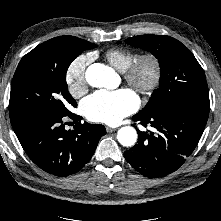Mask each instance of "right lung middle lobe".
Returning <instances> with one entry per match:
<instances>
[{
    "label": "right lung middle lobe",
    "instance_id": "right-lung-middle-lobe-1",
    "mask_svg": "<svg viewBox=\"0 0 221 221\" xmlns=\"http://www.w3.org/2000/svg\"><path fill=\"white\" fill-rule=\"evenodd\" d=\"M92 43L82 44L73 36L50 39L26 54L13 76L9 101L10 120L31 114L67 116L70 104L66 72L71 62Z\"/></svg>",
    "mask_w": 221,
    "mask_h": 221
}]
</instances>
